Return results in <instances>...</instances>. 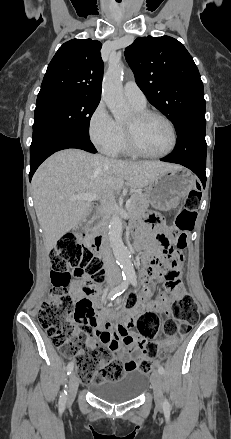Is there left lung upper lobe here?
<instances>
[{"label":"left lung upper lobe","mask_w":231,"mask_h":439,"mask_svg":"<svg viewBox=\"0 0 231 439\" xmlns=\"http://www.w3.org/2000/svg\"><path fill=\"white\" fill-rule=\"evenodd\" d=\"M125 57L139 88L174 124L177 134L188 123L205 120L198 68L178 40L169 36L137 38L126 48Z\"/></svg>","instance_id":"obj_1"}]
</instances>
